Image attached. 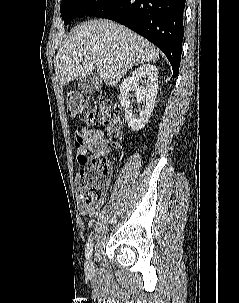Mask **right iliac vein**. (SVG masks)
Returning <instances> with one entry per match:
<instances>
[{"instance_id":"63e3f726","label":"right iliac vein","mask_w":239,"mask_h":303,"mask_svg":"<svg viewBox=\"0 0 239 303\" xmlns=\"http://www.w3.org/2000/svg\"><path fill=\"white\" fill-rule=\"evenodd\" d=\"M85 267L87 270L92 271L94 268L93 262L91 259H88L85 263Z\"/></svg>"}]
</instances>
